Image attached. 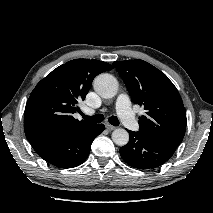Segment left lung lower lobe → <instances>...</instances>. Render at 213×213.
<instances>
[{"label": "left lung lower lobe", "mask_w": 213, "mask_h": 213, "mask_svg": "<svg viewBox=\"0 0 213 213\" xmlns=\"http://www.w3.org/2000/svg\"><path fill=\"white\" fill-rule=\"evenodd\" d=\"M130 140L120 148V155L130 166L138 169H153L165 163L176 148L148 139L139 131H128Z\"/></svg>", "instance_id": "1"}]
</instances>
